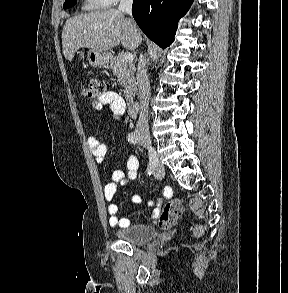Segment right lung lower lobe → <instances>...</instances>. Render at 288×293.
<instances>
[{"instance_id":"right-lung-lower-lobe-1","label":"right lung lower lobe","mask_w":288,"mask_h":293,"mask_svg":"<svg viewBox=\"0 0 288 293\" xmlns=\"http://www.w3.org/2000/svg\"><path fill=\"white\" fill-rule=\"evenodd\" d=\"M193 0H133V17L148 38L161 48L174 41L178 20Z\"/></svg>"}]
</instances>
